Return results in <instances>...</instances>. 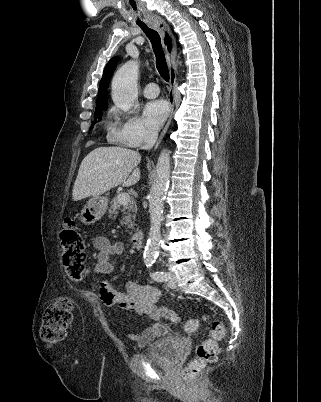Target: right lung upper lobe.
Here are the masks:
<instances>
[{"label":"right lung upper lobe","instance_id":"1","mask_svg":"<svg viewBox=\"0 0 321 402\" xmlns=\"http://www.w3.org/2000/svg\"><path fill=\"white\" fill-rule=\"evenodd\" d=\"M117 60H118L117 57H113L112 59H110V61L107 63V65L104 69V73H103L102 79L100 81L98 98L96 100V104H97L96 108L107 106V101H108L107 88L109 86L110 78L116 68Z\"/></svg>","mask_w":321,"mask_h":402}]
</instances>
